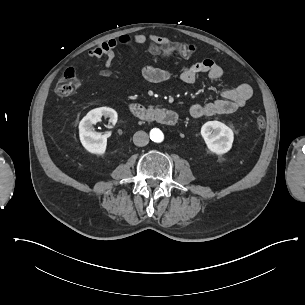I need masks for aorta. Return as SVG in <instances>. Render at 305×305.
I'll return each mask as SVG.
<instances>
[{"label": "aorta", "mask_w": 305, "mask_h": 305, "mask_svg": "<svg viewBox=\"0 0 305 305\" xmlns=\"http://www.w3.org/2000/svg\"><path fill=\"white\" fill-rule=\"evenodd\" d=\"M152 140L154 142L160 143L164 139V135L160 130H153L151 133Z\"/></svg>", "instance_id": "1"}]
</instances>
